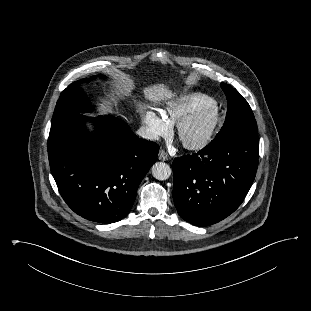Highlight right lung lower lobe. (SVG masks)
I'll return each instance as SVG.
<instances>
[{
    "label": "right lung lower lobe",
    "mask_w": 311,
    "mask_h": 311,
    "mask_svg": "<svg viewBox=\"0 0 311 311\" xmlns=\"http://www.w3.org/2000/svg\"><path fill=\"white\" fill-rule=\"evenodd\" d=\"M76 114L53 123L48 138L52 175L67 205L98 223H114L131 210L139 184L157 160L159 146L137 137L128 124L98 116L94 133Z\"/></svg>",
    "instance_id": "98d812e1"
}]
</instances>
